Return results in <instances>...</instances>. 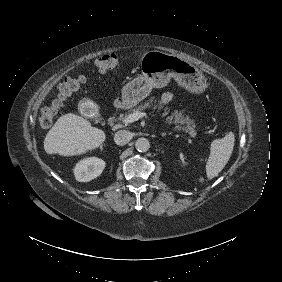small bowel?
<instances>
[{
	"label": "small bowel",
	"instance_id": "c3829d8e",
	"mask_svg": "<svg viewBox=\"0 0 282 282\" xmlns=\"http://www.w3.org/2000/svg\"><path fill=\"white\" fill-rule=\"evenodd\" d=\"M175 99H176L175 95L171 92H165L161 97V101L165 105L173 102Z\"/></svg>",
	"mask_w": 282,
	"mask_h": 282
}]
</instances>
